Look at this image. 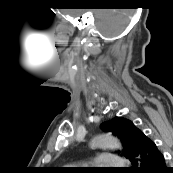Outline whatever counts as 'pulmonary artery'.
Segmentation results:
<instances>
[{"instance_id":"1","label":"pulmonary artery","mask_w":173,"mask_h":173,"mask_svg":"<svg viewBox=\"0 0 173 173\" xmlns=\"http://www.w3.org/2000/svg\"><path fill=\"white\" fill-rule=\"evenodd\" d=\"M93 163L103 168H116L123 165V160L116 155L108 153L98 156Z\"/></svg>"}]
</instances>
